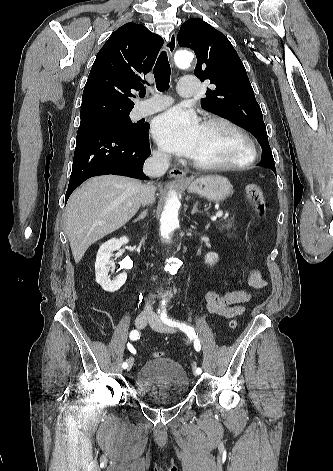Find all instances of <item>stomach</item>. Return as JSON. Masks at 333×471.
Instances as JSON below:
<instances>
[{"label":"stomach","mask_w":333,"mask_h":471,"mask_svg":"<svg viewBox=\"0 0 333 471\" xmlns=\"http://www.w3.org/2000/svg\"><path fill=\"white\" fill-rule=\"evenodd\" d=\"M189 193L198 194L210 201H224L232 192L230 181L220 175H206L184 184Z\"/></svg>","instance_id":"0dacf381"}]
</instances>
